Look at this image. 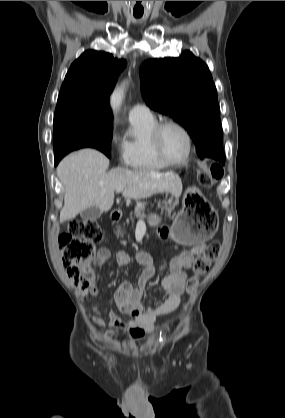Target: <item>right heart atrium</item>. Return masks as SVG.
I'll use <instances>...</instances> for the list:
<instances>
[{
  "instance_id": "right-heart-atrium-1",
  "label": "right heart atrium",
  "mask_w": 285,
  "mask_h": 418,
  "mask_svg": "<svg viewBox=\"0 0 285 418\" xmlns=\"http://www.w3.org/2000/svg\"><path fill=\"white\" fill-rule=\"evenodd\" d=\"M110 141H111V143H112L113 145L118 146V148H119V154H120V160H121L123 163H126V156H125V150H124V147H123V145H120V144H119V142H118V138H117V136H116V134H115V133H111V134H110Z\"/></svg>"
}]
</instances>
